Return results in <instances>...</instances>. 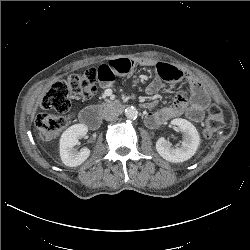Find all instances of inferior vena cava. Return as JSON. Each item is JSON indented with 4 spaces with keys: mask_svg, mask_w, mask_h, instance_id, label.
I'll use <instances>...</instances> for the list:
<instances>
[{
    "mask_svg": "<svg viewBox=\"0 0 250 250\" xmlns=\"http://www.w3.org/2000/svg\"><path fill=\"white\" fill-rule=\"evenodd\" d=\"M119 116V112L117 110L111 109L108 110L105 114H104V119L106 121H113L115 120L117 117Z\"/></svg>",
    "mask_w": 250,
    "mask_h": 250,
    "instance_id": "602c4592",
    "label": "inferior vena cava"
}]
</instances>
